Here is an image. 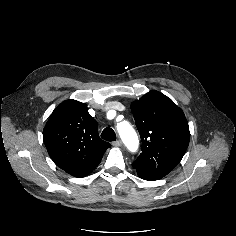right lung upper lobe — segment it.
<instances>
[{
  "instance_id": "right-lung-upper-lobe-1",
  "label": "right lung upper lobe",
  "mask_w": 236,
  "mask_h": 236,
  "mask_svg": "<svg viewBox=\"0 0 236 236\" xmlns=\"http://www.w3.org/2000/svg\"><path fill=\"white\" fill-rule=\"evenodd\" d=\"M43 140L53 162L74 177H85L111 145L100 139L96 120L85 103L62 102L49 117Z\"/></svg>"
}]
</instances>
